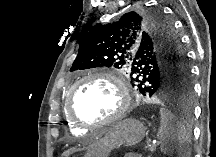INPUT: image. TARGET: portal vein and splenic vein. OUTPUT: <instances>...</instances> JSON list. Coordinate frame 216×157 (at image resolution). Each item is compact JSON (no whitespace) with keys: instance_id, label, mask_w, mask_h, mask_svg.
Wrapping results in <instances>:
<instances>
[{"instance_id":"obj_1","label":"portal vein and splenic vein","mask_w":216,"mask_h":157,"mask_svg":"<svg viewBox=\"0 0 216 157\" xmlns=\"http://www.w3.org/2000/svg\"><path fill=\"white\" fill-rule=\"evenodd\" d=\"M155 147H156V145H155V143H154L153 145H151L150 151H153Z\"/></svg>"}]
</instances>
